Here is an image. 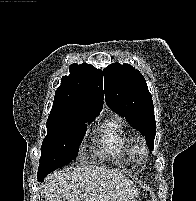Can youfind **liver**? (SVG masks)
<instances>
[{
    "label": "liver",
    "instance_id": "liver-1",
    "mask_svg": "<svg viewBox=\"0 0 196 201\" xmlns=\"http://www.w3.org/2000/svg\"><path fill=\"white\" fill-rule=\"evenodd\" d=\"M43 188L46 201H134L138 192L131 180L106 166L53 172Z\"/></svg>",
    "mask_w": 196,
    "mask_h": 201
}]
</instances>
